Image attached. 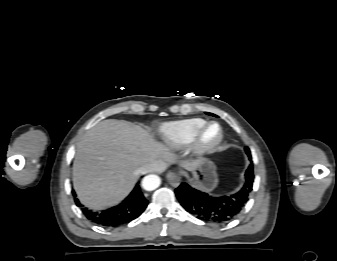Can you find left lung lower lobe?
<instances>
[{
  "label": "left lung lower lobe",
  "instance_id": "0a47b994",
  "mask_svg": "<svg viewBox=\"0 0 337 261\" xmlns=\"http://www.w3.org/2000/svg\"><path fill=\"white\" fill-rule=\"evenodd\" d=\"M245 183L235 194L213 197L182 183L175 189L176 196L187 212L197 218L215 223L231 221L245 207L252 191L254 174L250 165L245 173Z\"/></svg>",
  "mask_w": 337,
  "mask_h": 261
}]
</instances>
